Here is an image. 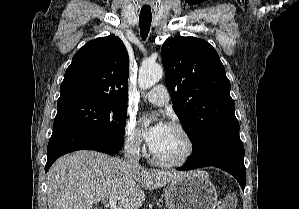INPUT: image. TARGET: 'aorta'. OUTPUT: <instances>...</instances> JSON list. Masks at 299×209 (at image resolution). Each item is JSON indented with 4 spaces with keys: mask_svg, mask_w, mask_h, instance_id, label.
Segmentation results:
<instances>
[{
    "mask_svg": "<svg viewBox=\"0 0 299 209\" xmlns=\"http://www.w3.org/2000/svg\"><path fill=\"white\" fill-rule=\"evenodd\" d=\"M163 76V69L156 63H144L138 75V85L146 90L154 86Z\"/></svg>",
    "mask_w": 299,
    "mask_h": 209,
    "instance_id": "obj_1",
    "label": "aorta"
}]
</instances>
